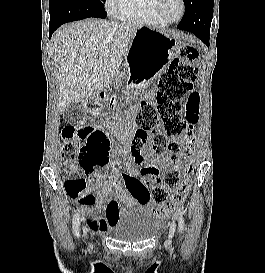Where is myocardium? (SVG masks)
I'll use <instances>...</instances> for the list:
<instances>
[{
  "label": "myocardium",
  "instance_id": "obj_1",
  "mask_svg": "<svg viewBox=\"0 0 265 273\" xmlns=\"http://www.w3.org/2000/svg\"><path fill=\"white\" fill-rule=\"evenodd\" d=\"M163 3H164V0H155V10H156V13H157L158 17L161 20H163L167 24H174V23L180 22L183 19V17L186 14V2H185V0H180V3H181V14H180V16L177 19H174V20L168 19L165 16V14L163 12Z\"/></svg>",
  "mask_w": 265,
  "mask_h": 273
}]
</instances>
